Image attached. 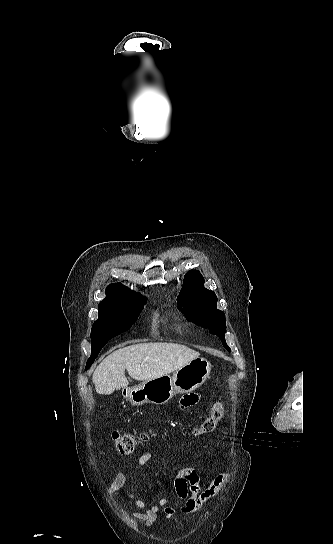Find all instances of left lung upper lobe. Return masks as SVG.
<instances>
[{
  "instance_id": "5c2ea615",
  "label": "left lung upper lobe",
  "mask_w": 333,
  "mask_h": 544,
  "mask_svg": "<svg viewBox=\"0 0 333 544\" xmlns=\"http://www.w3.org/2000/svg\"><path fill=\"white\" fill-rule=\"evenodd\" d=\"M203 283L204 279L198 271H189L184 277L183 288L177 301L193 310L192 314L185 315L188 321L210 328V332L219 336L224 347L230 351L224 338L225 315L217 309L215 293L205 289Z\"/></svg>"
}]
</instances>
